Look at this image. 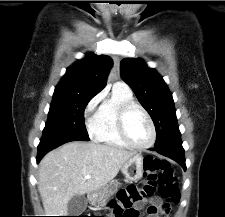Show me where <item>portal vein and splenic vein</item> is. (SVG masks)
<instances>
[{
    "label": "portal vein and splenic vein",
    "instance_id": "portal-vein-and-splenic-vein-1",
    "mask_svg": "<svg viewBox=\"0 0 225 217\" xmlns=\"http://www.w3.org/2000/svg\"><path fill=\"white\" fill-rule=\"evenodd\" d=\"M89 178H91V175H86L85 176V179H89Z\"/></svg>",
    "mask_w": 225,
    "mask_h": 217
}]
</instances>
